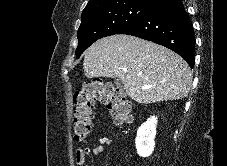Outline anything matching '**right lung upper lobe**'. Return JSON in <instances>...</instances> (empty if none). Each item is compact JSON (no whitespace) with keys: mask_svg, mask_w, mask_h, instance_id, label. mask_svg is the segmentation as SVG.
<instances>
[{"mask_svg":"<svg viewBox=\"0 0 227 166\" xmlns=\"http://www.w3.org/2000/svg\"><path fill=\"white\" fill-rule=\"evenodd\" d=\"M161 1L162 0H89L88 4L86 5L82 13H87V12H91L104 7L123 4V3H129V2H137V3L147 4L150 6H155Z\"/></svg>","mask_w":227,"mask_h":166,"instance_id":"right-lung-upper-lobe-1","label":"right lung upper lobe"}]
</instances>
